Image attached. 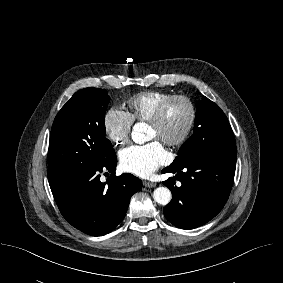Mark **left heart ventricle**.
I'll list each match as a JSON object with an SVG mask.
<instances>
[{
	"label": "left heart ventricle",
	"mask_w": 283,
	"mask_h": 283,
	"mask_svg": "<svg viewBox=\"0 0 283 283\" xmlns=\"http://www.w3.org/2000/svg\"><path fill=\"white\" fill-rule=\"evenodd\" d=\"M188 120V108L186 104L176 101L168 108L162 125L155 128L148 127V140L156 139L163 141L165 139H174L183 131Z\"/></svg>",
	"instance_id": "1"
}]
</instances>
